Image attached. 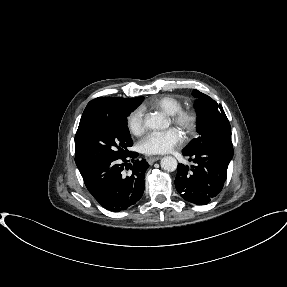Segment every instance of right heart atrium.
Returning a JSON list of instances; mask_svg holds the SVG:
<instances>
[{
  "mask_svg": "<svg viewBox=\"0 0 287 287\" xmlns=\"http://www.w3.org/2000/svg\"><path fill=\"white\" fill-rule=\"evenodd\" d=\"M127 127L134 135H141L145 131V116L142 108H136L129 113Z\"/></svg>",
  "mask_w": 287,
  "mask_h": 287,
  "instance_id": "d8ad5b80",
  "label": "right heart atrium"
}]
</instances>
